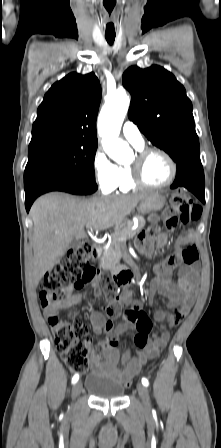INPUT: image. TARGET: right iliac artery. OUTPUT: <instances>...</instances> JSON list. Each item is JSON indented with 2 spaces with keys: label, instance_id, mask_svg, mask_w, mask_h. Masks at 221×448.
Returning a JSON list of instances; mask_svg holds the SVG:
<instances>
[{
  "label": "right iliac artery",
  "instance_id": "right-iliac-artery-1",
  "mask_svg": "<svg viewBox=\"0 0 221 448\" xmlns=\"http://www.w3.org/2000/svg\"><path fill=\"white\" fill-rule=\"evenodd\" d=\"M79 380V375L75 374L72 378V384H75Z\"/></svg>",
  "mask_w": 221,
  "mask_h": 448
}]
</instances>
